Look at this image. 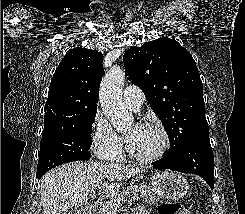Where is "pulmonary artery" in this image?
<instances>
[{"label": "pulmonary artery", "instance_id": "e3ab8cb5", "mask_svg": "<svg viewBox=\"0 0 245 214\" xmlns=\"http://www.w3.org/2000/svg\"><path fill=\"white\" fill-rule=\"evenodd\" d=\"M123 101L126 107L131 110L138 111L145 101V96L139 87L129 85L123 92Z\"/></svg>", "mask_w": 245, "mask_h": 214}]
</instances>
